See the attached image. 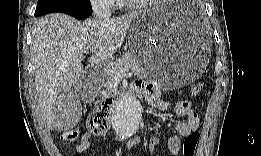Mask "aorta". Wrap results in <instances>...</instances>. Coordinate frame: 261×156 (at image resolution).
<instances>
[{
    "label": "aorta",
    "instance_id": "1",
    "mask_svg": "<svg viewBox=\"0 0 261 156\" xmlns=\"http://www.w3.org/2000/svg\"><path fill=\"white\" fill-rule=\"evenodd\" d=\"M142 122V108L134 96L120 99L112 112V127L121 138H130L138 133Z\"/></svg>",
    "mask_w": 261,
    "mask_h": 156
}]
</instances>
